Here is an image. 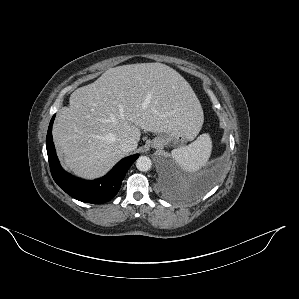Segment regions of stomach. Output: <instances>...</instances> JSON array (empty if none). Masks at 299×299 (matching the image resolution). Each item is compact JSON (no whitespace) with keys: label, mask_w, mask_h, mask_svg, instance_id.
<instances>
[{"label":"stomach","mask_w":299,"mask_h":299,"mask_svg":"<svg viewBox=\"0 0 299 299\" xmlns=\"http://www.w3.org/2000/svg\"><path fill=\"white\" fill-rule=\"evenodd\" d=\"M187 135L183 130H173L166 132L158 137H155L152 142L151 146L155 149H162L164 146L169 145V144H183L186 141H189Z\"/></svg>","instance_id":"0dacf381"}]
</instances>
